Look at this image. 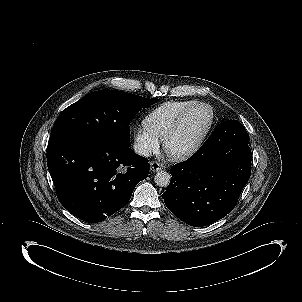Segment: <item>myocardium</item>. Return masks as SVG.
Instances as JSON below:
<instances>
[{
	"instance_id": "obj_1",
	"label": "myocardium",
	"mask_w": 302,
	"mask_h": 302,
	"mask_svg": "<svg viewBox=\"0 0 302 302\" xmlns=\"http://www.w3.org/2000/svg\"><path fill=\"white\" fill-rule=\"evenodd\" d=\"M205 110L207 113V121L206 124L203 128V130L201 131L200 135L197 137V139L193 142L192 145H190L188 148L183 149V150H179V151H175L170 147V140L171 137L173 136V134L176 132V130L179 128V126L181 125L182 121L191 113H193L196 110ZM212 120H213V113L211 108L206 105V104H196L192 107H190L189 109H187L185 112H183L174 122V124L171 126V128L169 129L168 133L166 134L165 138H164V149L166 152H168L172 157L174 158H182L184 156H187L189 154H191L193 151H195L198 146L200 145V143L203 141V139L205 138L206 134L209 131V128L211 127L212 124Z\"/></svg>"
}]
</instances>
